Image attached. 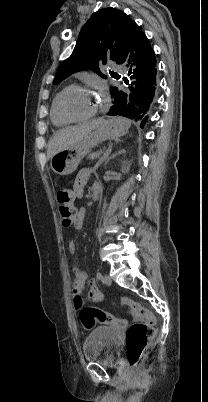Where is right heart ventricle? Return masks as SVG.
Here are the masks:
<instances>
[{
	"mask_svg": "<svg viewBox=\"0 0 208 402\" xmlns=\"http://www.w3.org/2000/svg\"><path fill=\"white\" fill-rule=\"evenodd\" d=\"M60 93H58L52 101L51 109H50V119H51L52 124L55 127L64 128V127H68V126L76 123L77 121H70L62 116V114L58 108V98H59Z\"/></svg>",
	"mask_w": 208,
	"mask_h": 402,
	"instance_id": "1",
	"label": "right heart ventricle"
}]
</instances>
